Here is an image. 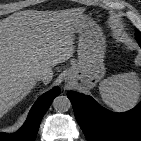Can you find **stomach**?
Returning a JSON list of instances; mask_svg holds the SVG:
<instances>
[{"mask_svg":"<svg viewBox=\"0 0 141 141\" xmlns=\"http://www.w3.org/2000/svg\"><path fill=\"white\" fill-rule=\"evenodd\" d=\"M77 33L78 61L68 70L67 79L80 81L83 88L91 89L105 75V40L100 29L87 18Z\"/></svg>","mask_w":141,"mask_h":141,"instance_id":"stomach-1","label":"stomach"}]
</instances>
